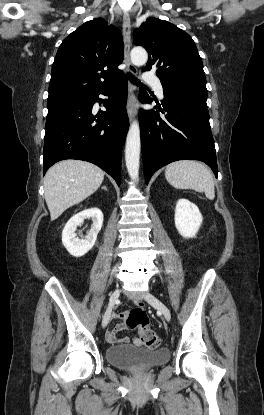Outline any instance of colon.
<instances>
[{
	"label": "colon",
	"mask_w": 264,
	"mask_h": 415,
	"mask_svg": "<svg viewBox=\"0 0 264 415\" xmlns=\"http://www.w3.org/2000/svg\"><path fill=\"white\" fill-rule=\"evenodd\" d=\"M127 325L137 328L142 344L147 348H157L160 344L159 338L151 328L148 315L142 305L133 308L127 317Z\"/></svg>",
	"instance_id": "1"
}]
</instances>
